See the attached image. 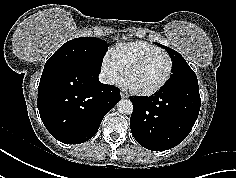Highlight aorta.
<instances>
[{
  "mask_svg": "<svg viewBox=\"0 0 236 178\" xmlns=\"http://www.w3.org/2000/svg\"><path fill=\"white\" fill-rule=\"evenodd\" d=\"M117 110L120 114L130 115L133 112V104L128 99H122L117 103Z\"/></svg>",
  "mask_w": 236,
  "mask_h": 178,
  "instance_id": "aorta-1",
  "label": "aorta"
}]
</instances>
